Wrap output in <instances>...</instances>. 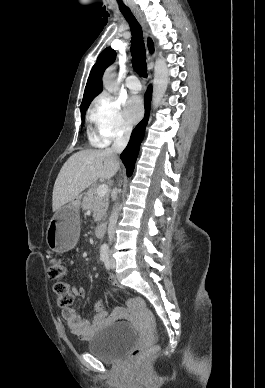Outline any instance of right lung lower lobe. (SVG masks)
I'll return each instance as SVG.
<instances>
[{"instance_id":"98d812e1","label":"right lung lower lobe","mask_w":265,"mask_h":388,"mask_svg":"<svg viewBox=\"0 0 265 388\" xmlns=\"http://www.w3.org/2000/svg\"><path fill=\"white\" fill-rule=\"evenodd\" d=\"M152 90L151 86L148 87L145 98V116L144 119L136 126L131 134L130 141L121 154V159L126 167L127 176H131L134 170L135 162L139 153L140 144L145 135V128L148 122V116L150 111Z\"/></svg>"}]
</instances>
